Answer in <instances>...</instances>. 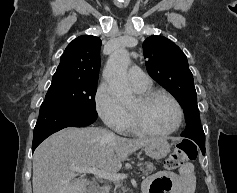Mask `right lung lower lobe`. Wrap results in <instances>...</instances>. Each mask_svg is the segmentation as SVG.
<instances>
[{"label":"right lung lower lobe","instance_id":"98d812e1","mask_svg":"<svg viewBox=\"0 0 237 193\" xmlns=\"http://www.w3.org/2000/svg\"><path fill=\"white\" fill-rule=\"evenodd\" d=\"M97 117L81 116L55 108L41 107L34 128L32 153L51 134L66 127H83L95 122Z\"/></svg>","mask_w":237,"mask_h":193}]
</instances>
